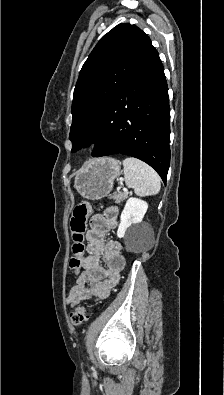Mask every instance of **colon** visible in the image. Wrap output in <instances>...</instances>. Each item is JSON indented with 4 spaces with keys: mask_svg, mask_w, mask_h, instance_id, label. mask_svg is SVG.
Wrapping results in <instances>:
<instances>
[{
    "mask_svg": "<svg viewBox=\"0 0 224 395\" xmlns=\"http://www.w3.org/2000/svg\"><path fill=\"white\" fill-rule=\"evenodd\" d=\"M94 211L88 203H80L75 206L70 220L71 237L73 241L72 251L74 256L70 259L69 266L72 273H77L81 268L82 256L85 252L84 233L87 227V219ZM70 321L75 326H80L88 320V310L84 305L76 306L70 312Z\"/></svg>",
    "mask_w": 224,
    "mask_h": 395,
    "instance_id": "1",
    "label": "colon"
}]
</instances>
